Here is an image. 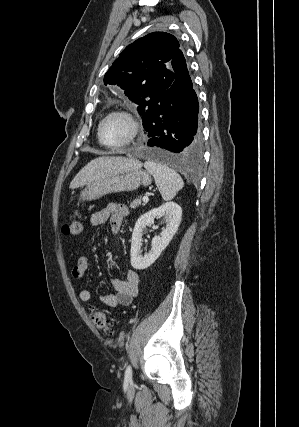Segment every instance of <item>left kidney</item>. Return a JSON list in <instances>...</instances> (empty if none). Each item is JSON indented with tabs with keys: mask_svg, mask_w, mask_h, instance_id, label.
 I'll return each mask as SVG.
<instances>
[{
	"mask_svg": "<svg viewBox=\"0 0 299 427\" xmlns=\"http://www.w3.org/2000/svg\"><path fill=\"white\" fill-rule=\"evenodd\" d=\"M163 216L166 228L162 229L159 237H155L151 243L149 253L141 255L143 244L142 232L146 226L152 225L155 218ZM182 209L175 202H166L140 216L137 220L131 239V265L134 269L143 270L152 265L160 256L162 251L169 245L178 230L181 222Z\"/></svg>",
	"mask_w": 299,
	"mask_h": 427,
	"instance_id": "5707ae66",
	"label": "left kidney"
}]
</instances>
